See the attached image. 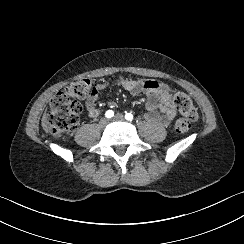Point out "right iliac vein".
<instances>
[{"label":"right iliac vein","instance_id":"1","mask_svg":"<svg viewBox=\"0 0 244 244\" xmlns=\"http://www.w3.org/2000/svg\"><path fill=\"white\" fill-rule=\"evenodd\" d=\"M109 120L107 118H102L100 121V126L105 127L108 124Z\"/></svg>","mask_w":244,"mask_h":244}]
</instances>
